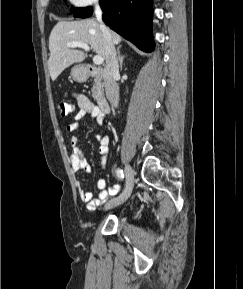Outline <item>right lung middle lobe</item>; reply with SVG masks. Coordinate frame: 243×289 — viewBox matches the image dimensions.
Segmentation results:
<instances>
[{
	"instance_id": "obj_1",
	"label": "right lung middle lobe",
	"mask_w": 243,
	"mask_h": 289,
	"mask_svg": "<svg viewBox=\"0 0 243 289\" xmlns=\"http://www.w3.org/2000/svg\"><path fill=\"white\" fill-rule=\"evenodd\" d=\"M79 10V8H75L74 10H73V12H76V11H78Z\"/></svg>"
}]
</instances>
